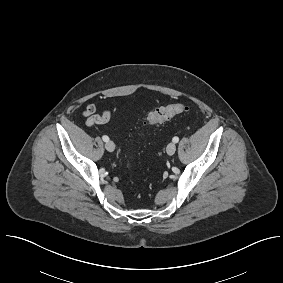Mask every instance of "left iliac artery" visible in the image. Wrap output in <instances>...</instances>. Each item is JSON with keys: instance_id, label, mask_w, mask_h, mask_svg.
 <instances>
[{"instance_id": "44dca946", "label": "left iliac artery", "mask_w": 283, "mask_h": 283, "mask_svg": "<svg viewBox=\"0 0 283 283\" xmlns=\"http://www.w3.org/2000/svg\"><path fill=\"white\" fill-rule=\"evenodd\" d=\"M172 140H173L174 143H177L179 141V138L178 137H174Z\"/></svg>"}]
</instances>
